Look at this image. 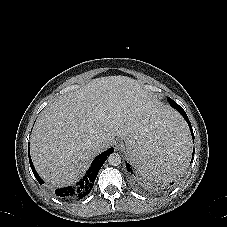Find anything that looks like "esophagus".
<instances>
[{
    "instance_id": "1",
    "label": "esophagus",
    "mask_w": 227,
    "mask_h": 227,
    "mask_svg": "<svg viewBox=\"0 0 227 227\" xmlns=\"http://www.w3.org/2000/svg\"><path fill=\"white\" fill-rule=\"evenodd\" d=\"M116 149H119V145H116Z\"/></svg>"
}]
</instances>
